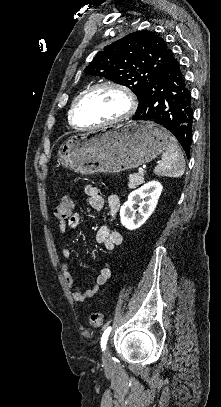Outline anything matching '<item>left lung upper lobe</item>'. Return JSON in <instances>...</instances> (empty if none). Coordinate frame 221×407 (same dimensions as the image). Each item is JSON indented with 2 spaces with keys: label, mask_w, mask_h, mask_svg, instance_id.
<instances>
[{
  "label": "left lung upper lobe",
  "mask_w": 221,
  "mask_h": 407,
  "mask_svg": "<svg viewBox=\"0 0 221 407\" xmlns=\"http://www.w3.org/2000/svg\"><path fill=\"white\" fill-rule=\"evenodd\" d=\"M173 56L161 37L147 30L136 31L98 52L84 72L129 87L140 99L148 82Z\"/></svg>",
  "instance_id": "left-lung-upper-lobe-1"
}]
</instances>
